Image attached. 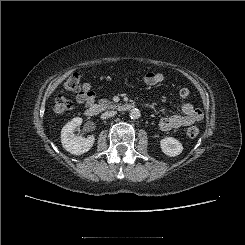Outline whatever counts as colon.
<instances>
[{"instance_id":"obj_1","label":"colon","mask_w":245,"mask_h":245,"mask_svg":"<svg viewBox=\"0 0 245 245\" xmlns=\"http://www.w3.org/2000/svg\"><path fill=\"white\" fill-rule=\"evenodd\" d=\"M82 91L81 78L78 74H72L64 83V91L56 98L54 103V111L56 113H66L72 109V100L66 93L79 94ZM190 95V90L183 87L179 90V96L181 98H187ZM186 134L189 138H196L199 134V130L196 127H190L187 129Z\"/></svg>"}]
</instances>
